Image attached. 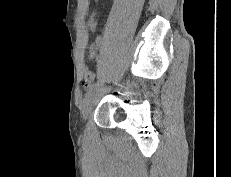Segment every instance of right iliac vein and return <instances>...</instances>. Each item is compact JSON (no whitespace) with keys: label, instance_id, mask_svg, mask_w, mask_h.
I'll list each match as a JSON object with an SVG mask.
<instances>
[{"label":"right iliac vein","instance_id":"right-iliac-vein-1","mask_svg":"<svg viewBox=\"0 0 231 177\" xmlns=\"http://www.w3.org/2000/svg\"><path fill=\"white\" fill-rule=\"evenodd\" d=\"M94 97L95 94L94 92H91L89 94L86 95L84 101H83V105H82V118L84 120H86L88 114L90 113L93 103H94Z\"/></svg>","mask_w":231,"mask_h":177}]
</instances>
